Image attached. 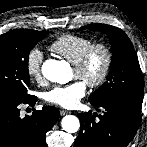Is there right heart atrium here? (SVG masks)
<instances>
[{
	"label": "right heart atrium",
	"mask_w": 147,
	"mask_h": 147,
	"mask_svg": "<svg viewBox=\"0 0 147 147\" xmlns=\"http://www.w3.org/2000/svg\"><path fill=\"white\" fill-rule=\"evenodd\" d=\"M42 61L43 54L37 48L31 49L25 60V68L28 76L38 83L43 80Z\"/></svg>",
	"instance_id": "right-heart-atrium-1"
}]
</instances>
